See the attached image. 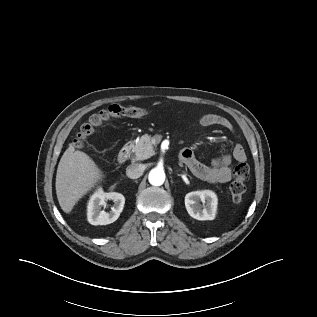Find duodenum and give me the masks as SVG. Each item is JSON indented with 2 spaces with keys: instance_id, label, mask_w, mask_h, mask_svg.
Segmentation results:
<instances>
[{
  "instance_id": "1",
  "label": "duodenum",
  "mask_w": 317,
  "mask_h": 317,
  "mask_svg": "<svg viewBox=\"0 0 317 317\" xmlns=\"http://www.w3.org/2000/svg\"><path fill=\"white\" fill-rule=\"evenodd\" d=\"M130 154V144L126 143L119 151L118 153V161L119 163H124Z\"/></svg>"
}]
</instances>
